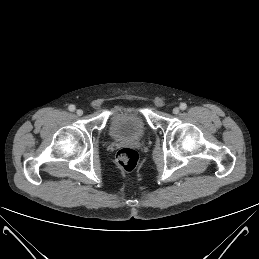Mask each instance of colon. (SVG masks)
Listing matches in <instances>:
<instances>
[{"label":"colon","instance_id":"colon-1","mask_svg":"<svg viewBox=\"0 0 259 259\" xmlns=\"http://www.w3.org/2000/svg\"><path fill=\"white\" fill-rule=\"evenodd\" d=\"M138 153L131 148H122L117 152L116 161L118 166L127 172L135 169L138 163Z\"/></svg>","mask_w":259,"mask_h":259}]
</instances>
